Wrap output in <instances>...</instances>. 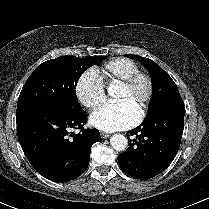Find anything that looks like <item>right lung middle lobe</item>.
Here are the masks:
<instances>
[{"mask_svg":"<svg viewBox=\"0 0 209 209\" xmlns=\"http://www.w3.org/2000/svg\"><path fill=\"white\" fill-rule=\"evenodd\" d=\"M107 56L79 58L61 56L38 66L24 84L18 98L16 121L51 107L80 109L76 85L82 73Z\"/></svg>","mask_w":209,"mask_h":209,"instance_id":"obj_1","label":"right lung middle lobe"}]
</instances>
